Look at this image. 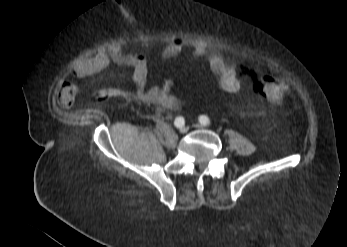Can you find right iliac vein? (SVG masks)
Returning <instances> with one entry per match:
<instances>
[{
  "mask_svg": "<svg viewBox=\"0 0 347 247\" xmlns=\"http://www.w3.org/2000/svg\"><path fill=\"white\" fill-rule=\"evenodd\" d=\"M179 131H180V133L185 134L187 132V128L186 127H180Z\"/></svg>",
  "mask_w": 347,
  "mask_h": 247,
  "instance_id": "1",
  "label": "right iliac vein"
}]
</instances>
